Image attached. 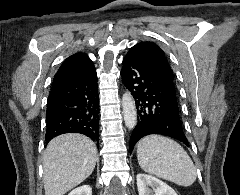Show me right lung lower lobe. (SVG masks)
<instances>
[{"label":"right lung lower lobe","mask_w":240,"mask_h":195,"mask_svg":"<svg viewBox=\"0 0 240 195\" xmlns=\"http://www.w3.org/2000/svg\"><path fill=\"white\" fill-rule=\"evenodd\" d=\"M46 144L65 133H80L99 145L96 70L77 80L53 81L46 111Z\"/></svg>","instance_id":"98d812e1"}]
</instances>
